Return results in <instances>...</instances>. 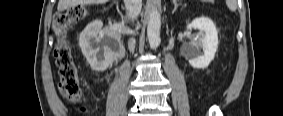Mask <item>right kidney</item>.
Returning a JSON list of instances; mask_svg holds the SVG:
<instances>
[{"label": "right kidney", "mask_w": 283, "mask_h": 116, "mask_svg": "<svg viewBox=\"0 0 283 116\" xmlns=\"http://www.w3.org/2000/svg\"><path fill=\"white\" fill-rule=\"evenodd\" d=\"M79 46L94 71H105L123 53L120 37L111 29L103 28V22L94 20L79 36Z\"/></svg>", "instance_id": "1"}]
</instances>
